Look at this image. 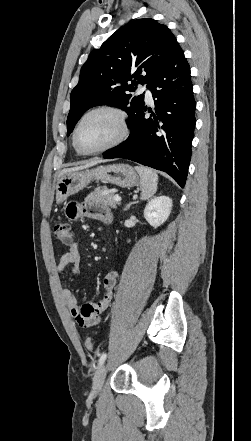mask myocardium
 I'll return each mask as SVG.
<instances>
[{
	"instance_id": "myocardium-1",
	"label": "myocardium",
	"mask_w": 251,
	"mask_h": 441,
	"mask_svg": "<svg viewBox=\"0 0 251 441\" xmlns=\"http://www.w3.org/2000/svg\"><path fill=\"white\" fill-rule=\"evenodd\" d=\"M97 112H109L111 114H113L120 125V132L117 135V137L115 139H113L111 142H109L108 144L95 149V150H91V151H87L81 148L79 141H78V134H79V130L83 124V122L85 121V119L87 117H89L90 115L97 113ZM130 129H129V123H128V117L127 114L124 110L116 107V106H112V105H99L96 107L91 108L90 110H88L87 112H85L81 118L79 119L75 129H74V133H73V144L76 148V150L82 154V155H95V154H100L103 153L107 150H110L118 145H120L122 142H124L128 135H129Z\"/></svg>"
}]
</instances>
